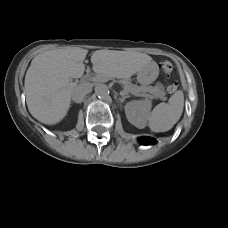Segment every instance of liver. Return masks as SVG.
<instances>
[{
    "instance_id": "liver-1",
    "label": "liver",
    "mask_w": 228,
    "mask_h": 228,
    "mask_svg": "<svg viewBox=\"0 0 228 228\" xmlns=\"http://www.w3.org/2000/svg\"><path fill=\"white\" fill-rule=\"evenodd\" d=\"M87 53L81 48L58 49L43 52L32 60L24 86L28 110L35 119L53 125L66 116L74 89L70 80L83 76ZM91 62L93 71L108 80L129 79L153 63L143 53L113 50L95 51Z\"/></svg>"
}]
</instances>
